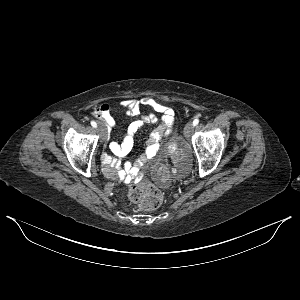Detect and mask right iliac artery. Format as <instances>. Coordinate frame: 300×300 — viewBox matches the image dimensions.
Returning <instances> with one entry per match:
<instances>
[{
	"instance_id": "1",
	"label": "right iliac artery",
	"mask_w": 300,
	"mask_h": 300,
	"mask_svg": "<svg viewBox=\"0 0 300 300\" xmlns=\"http://www.w3.org/2000/svg\"><path fill=\"white\" fill-rule=\"evenodd\" d=\"M91 125H92L94 128H96V127H97V124H96V122H95V121H91Z\"/></svg>"
}]
</instances>
